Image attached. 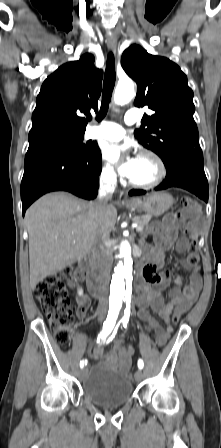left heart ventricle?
Listing matches in <instances>:
<instances>
[{
  "label": "left heart ventricle",
  "instance_id": "left-heart-ventricle-1",
  "mask_svg": "<svg viewBox=\"0 0 221 448\" xmlns=\"http://www.w3.org/2000/svg\"><path fill=\"white\" fill-rule=\"evenodd\" d=\"M157 175V170L154 162L147 157H140L139 165L135 174L131 177V179L136 181H149L155 178Z\"/></svg>",
  "mask_w": 221,
  "mask_h": 448
}]
</instances>
